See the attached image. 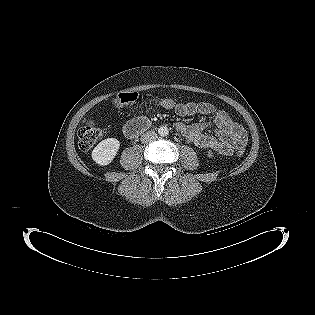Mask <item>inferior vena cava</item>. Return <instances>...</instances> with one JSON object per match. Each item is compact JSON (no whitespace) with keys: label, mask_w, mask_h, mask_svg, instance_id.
Returning <instances> with one entry per match:
<instances>
[{"label":"inferior vena cava","mask_w":315,"mask_h":315,"mask_svg":"<svg viewBox=\"0 0 315 315\" xmlns=\"http://www.w3.org/2000/svg\"><path fill=\"white\" fill-rule=\"evenodd\" d=\"M157 138V133L155 131H147L141 136V141L143 143H148Z\"/></svg>","instance_id":"inferior-vena-cava-1"}]
</instances>
